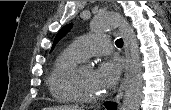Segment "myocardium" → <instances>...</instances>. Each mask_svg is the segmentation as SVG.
<instances>
[{"instance_id": "1", "label": "myocardium", "mask_w": 171, "mask_h": 110, "mask_svg": "<svg viewBox=\"0 0 171 110\" xmlns=\"http://www.w3.org/2000/svg\"><path fill=\"white\" fill-rule=\"evenodd\" d=\"M82 67L83 65L78 64L68 73L66 82L69 90L72 92V94L76 97L78 101L83 103H95L102 100L105 97L104 94L90 96L83 91L79 82V75Z\"/></svg>"}]
</instances>
